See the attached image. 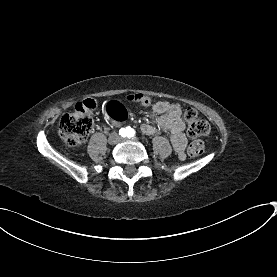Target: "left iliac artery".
Instances as JSON below:
<instances>
[{"mask_svg":"<svg viewBox=\"0 0 277 277\" xmlns=\"http://www.w3.org/2000/svg\"><path fill=\"white\" fill-rule=\"evenodd\" d=\"M134 135H135V130L129 128V129H128V137H134Z\"/></svg>","mask_w":277,"mask_h":277,"instance_id":"left-iliac-artery-1","label":"left iliac artery"}]
</instances>
